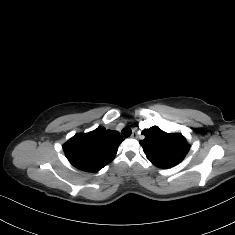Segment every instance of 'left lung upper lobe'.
I'll use <instances>...</instances> for the list:
<instances>
[{
  "instance_id": "5c2ea615",
  "label": "left lung upper lobe",
  "mask_w": 235,
  "mask_h": 235,
  "mask_svg": "<svg viewBox=\"0 0 235 235\" xmlns=\"http://www.w3.org/2000/svg\"><path fill=\"white\" fill-rule=\"evenodd\" d=\"M140 141L147 158L159 168H170L180 163L190 149L184 136L169 134L157 126L143 130Z\"/></svg>"
}]
</instances>
